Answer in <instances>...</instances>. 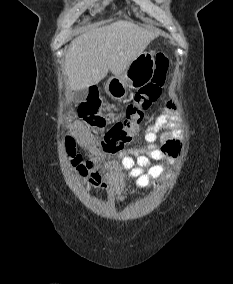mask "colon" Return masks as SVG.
Segmentation results:
<instances>
[{"mask_svg": "<svg viewBox=\"0 0 233 284\" xmlns=\"http://www.w3.org/2000/svg\"><path fill=\"white\" fill-rule=\"evenodd\" d=\"M168 69V56L162 51L157 52L154 56V70L150 81L133 95L126 107L124 119L117 121L104 132L102 148L106 153L119 152L137 135L145 112L161 95ZM78 113L81 119L95 132H103L106 121L101 113V101L97 96L91 95L82 102ZM66 145L73 168L79 175H87L91 163L84 161L76 153L75 141L72 137H66Z\"/></svg>", "mask_w": 233, "mask_h": 284, "instance_id": "obj_1", "label": "colon"}]
</instances>
